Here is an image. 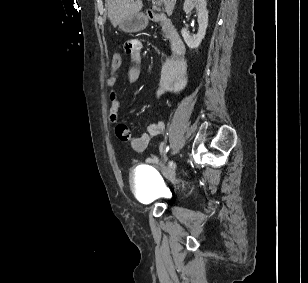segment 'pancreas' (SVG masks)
<instances>
[{"label":"pancreas","instance_id":"cf45deb5","mask_svg":"<svg viewBox=\"0 0 308 283\" xmlns=\"http://www.w3.org/2000/svg\"><path fill=\"white\" fill-rule=\"evenodd\" d=\"M161 27H162V32H163V36L165 38H168L169 34H168V28L164 23H161Z\"/></svg>","mask_w":308,"mask_h":283}]
</instances>
